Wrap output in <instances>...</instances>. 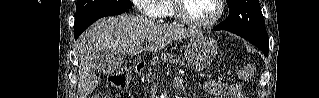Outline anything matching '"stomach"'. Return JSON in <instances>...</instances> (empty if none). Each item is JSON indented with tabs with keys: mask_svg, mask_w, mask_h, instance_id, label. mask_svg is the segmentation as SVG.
<instances>
[{
	"mask_svg": "<svg viewBox=\"0 0 319 98\" xmlns=\"http://www.w3.org/2000/svg\"><path fill=\"white\" fill-rule=\"evenodd\" d=\"M217 42L207 36H192L186 47L184 57L187 65L194 71H201L208 66L217 54Z\"/></svg>",
	"mask_w": 319,
	"mask_h": 98,
	"instance_id": "1",
	"label": "stomach"
}]
</instances>
